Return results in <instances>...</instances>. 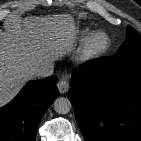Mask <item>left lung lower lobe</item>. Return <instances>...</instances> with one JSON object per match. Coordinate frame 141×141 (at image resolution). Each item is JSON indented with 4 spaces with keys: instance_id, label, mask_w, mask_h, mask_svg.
<instances>
[{
    "instance_id": "obj_1",
    "label": "left lung lower lobe",
    "mask_w": 141,
    "mask_h": 141,
    "mask_svg": "<svg viewBox=\"0 0 141 141\" xmlns=\"http://www.w3.org/2000/svg\"><path fill=\"white\" fill-rule=\"evenodd\" d=\"M70 86L86 141H141V52L88 61Z\"/></svg>"
}]
</instances>
